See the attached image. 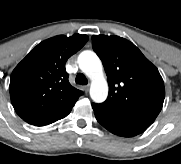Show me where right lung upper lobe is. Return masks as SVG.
Instances as JSON below:
<instances>
[{
    "label": "right lung upper lobe",
    "mask_w": 181,
    "mask_h": 164,
    "mask_svg": "<svg viewBox=\"0 0 181 164\" xmlns=\"http://www.w3.org/2000/svg\"><path fill=\"white\" fill-rule=\"evenodd\" d=\"M88 41L87 35H59L39 43L16 66L10 97L17 114L35 126L66 117L83 92L68 81L65 63Z\"/></svg>",
    "instance_id": "obj_1"
}]
</instances>
